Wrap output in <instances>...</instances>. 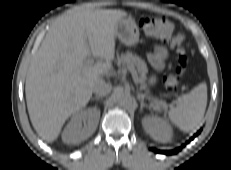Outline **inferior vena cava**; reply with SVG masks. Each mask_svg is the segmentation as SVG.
Wrapping results in <instances>:
<instances>
[{
    "label": "inferior vena cava",
    "mask_w": 231,
    "mask_h": 170,
    "mask_svg": "<svg viewBox=\"0 0 231 170\" xmlns=\"http://www.w3.org/2000/svg\"><path fill=\"white\" fill-rule=\"evenodd\" d=\"M111 90H112V85L109 83H105L103 80L96 83L93 87V92L97 96H101V97L109 94Z\"/></svg>",
    "instance_id": "obj_1"
}]
</instances>
